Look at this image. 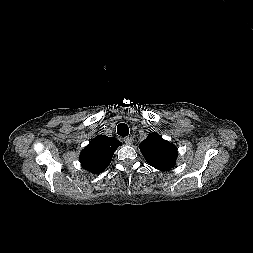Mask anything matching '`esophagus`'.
<instances>
[{"instance_id": "1", "label": "esophagus", "mask_w": 253, "mask_h": 253, "mask_svg": "<svg viewBox=\"0 0 253 253\" xmlns=\"http://www.w3.org/2000/svg\"><path fill=\"white\" fill-rule=\"evenodd\" d=\"M124 142L127 145H131L133 143V138L132 137H126V138H124Z\"/></svg>"}]
</instances>
